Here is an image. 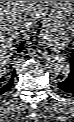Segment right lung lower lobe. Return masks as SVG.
Wrapping results in <instances>:
<instances>
[{
    "label": "right lung lower lobe",
    "mask_w": 74,
    "mask_h": 122,
    "mask_svg": "<svg viewBox=\"0 0 74 122\" xmlns=\"http://www.w3.org/2000/svg\"><path fill=\"white\" fill-rule=\"evenodd\" d=\"M24 49V42L20 43V45L17 47V53H20ZM15 72L12 74L10 80L7 82L0 83V95L8 91L13 86V80H14Z\"/></svg>",
    "instance_id": "right-lung-lower-lobe-1"
}]
</instances>
